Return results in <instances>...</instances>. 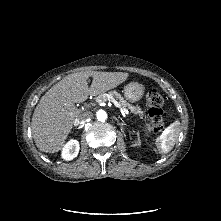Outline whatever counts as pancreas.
Segmentation results:
<instances>
[{
  "instance_id": "1",
  "label": "pancreas",
  "mask_w": 221,
  "mask_h": 221,
  "mask_svg": "<svg viewBox=\"0 0 221 221\" xmlns=\"http://www.w3.org/2000/svg\"><path fill=\"white\" fill-rule=\"evenodd\" d=\"M112 96L113 98H116L119 101V104L124 107V108H128L131 113L137 114L139 115L140 119H143L144 116V112L142 111V109L140 108V106H133L131 104H129L122 96L120 93H118L117 91H110L109 94H101L99 95L97 98H103L104 96Z\"/></svg>"
}]
</instances>
